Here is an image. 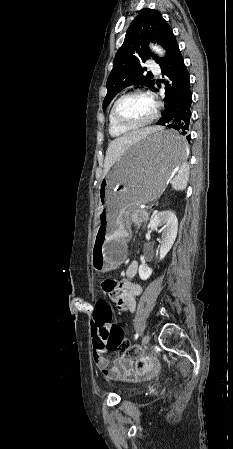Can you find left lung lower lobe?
Wrapping results in <instances>:
<instances>
[{
  "label": "left lung lower lobe",
  "mask_w": 233,
  "mask_h": 449,
  "mask_svg": "<svg viewBox=\"0 0 233 449\" xmlns=\"http://www.w3.org/2000/svg\"><path fill=\"white\" fill-rule=\"evenodd\" d=\"M165 76V110L158 125L171 128L172 131L163 139L169 151H179L191 139L189 124L191 118L192 93L189 73L184 64L179 47L170 59L161 66Z\"/></svg>",
  "instance_id": "1"
}]
</instances>
